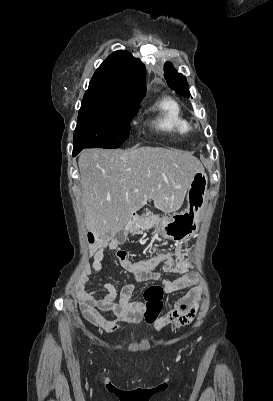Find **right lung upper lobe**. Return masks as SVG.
Wrapping results in <instances>:
<instances>
[{
  "label": "right lung upper lobe",
  "mask_w": 273,
  "mask_h": 401,
  "mask_svg": "<svg viewBox=\"0 0 273 401\" xmlns=\"http://www.w3.org/2000/svg\"><path fill=\"white\" fill-rule=\"evenodd\" d=\"M145 67L128 51H115L93 75L84 99L139 106L144 97Z\"/></svg>",
  "instance_id": "1"
}]
</instances>
